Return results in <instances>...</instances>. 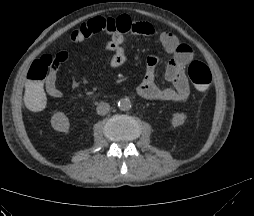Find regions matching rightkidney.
Listing matches in <instances>:
<instances>
[{"instance_id": "obj_1", "label": "right kidney", "mask_w": 254, "mask_h": 216, "mask_svg": "<svg viewBox=\"0 0 254 216\" xmlns=\"http://www.w3.org/2000/svg\"><path fill=\"white\" fill-rule=\"evenodd\" d=\"M51 126L59 132H68L70 123L68 117L63 112H56L51 117Z\"/></svg>"}]
</instances>
